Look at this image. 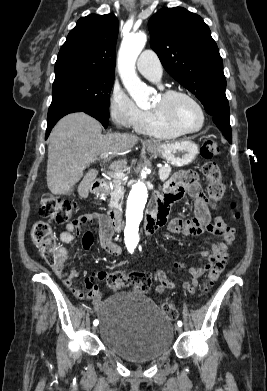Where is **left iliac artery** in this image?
I'll return each mask as SVG.
<instances>
[{"mask_svg":"<svg viewBox=\"0 0 267 391\" xmlns=\"http://www.w3.org/2000/svg\"><path fill=\"white\" fill-rule=\"evenodd\" d=\"M177 324H178V326H180V327L182 326V322H181V321H178Z\"/></svg>","mask_w":267,"mask_h":391,"instance_id":"44dca946","label":"left iliac artery"}]
</instances>
